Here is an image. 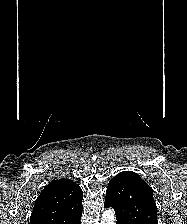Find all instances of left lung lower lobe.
Wrapping results in <instances>:
<instances>
[{"label":"left lung lower lobe","mask_w":187,"mask_h":224,"mask_svg":"<svg viewBox=\"0 0 187 224\" xmlns=\"http://www.w3.org/2000/svg\"><path fill=\"white\" fill-rule=\"evenodd\" d=\"M106 207H112V205L110 202H108V200L105 199L104 208H106ZM116 224H126V222L124 221V219L121 216L116 214Z\"/></svg>","instance_id":"left-lung-lower-lobe-1"}]
</instances>
